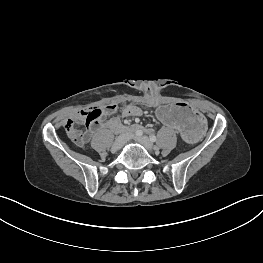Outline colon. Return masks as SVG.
<instances>
[{"mask_svg": "<svg viewBox=\"0 0 263 263\" xmlns=\"http://www.w3.org/2000/svg\"><path fill=\"white\" fill-rule=\"evenodd\" d=\"M148 103H153L152 96L148 97ZM116 105H109L105 109L90 108L82 111L80 118H73L67 120L64 124V129L68 137L76 144L82 145L87 141L88 130L94 129L101 121L105 114H110ZM85 124L86 129L81 128L79 125Z\"/></svg>", "mask_w": 263, "mask_h": 263, "instance_id": "1", "label": "colon"}]
</instances>
